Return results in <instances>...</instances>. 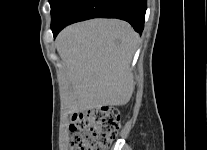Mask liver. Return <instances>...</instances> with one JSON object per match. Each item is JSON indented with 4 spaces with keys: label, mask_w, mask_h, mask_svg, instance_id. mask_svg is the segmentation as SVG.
<instances>
[{
    "label": "liver",
    "mask_w": 207,
    "mask_h": 150,
    "mask_svg": "<svg viewBox=\"0 0 207 150\" xmlns=\"http://www.w3.org/2000/svg\"><path fill=\"white\" fill-rule=\"evenodd\" d=\"M139 35L124 21L93 19L65 28L56 47L65 66L70 113L125 105L134 91L130 65Z\"/></svg>",
    "instance_id": "6515ba94"
}]
</instances>
